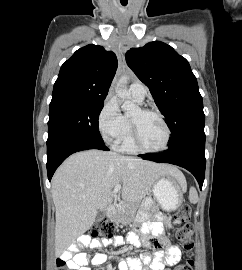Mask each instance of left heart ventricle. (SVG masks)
<instances>
[{"instance_id": "b2bd125f", "label": "left heart ventricle", "mask_w": 242, "mask_h": 270, "mask_svg": "<svg viewBox=\"0 0 242 270\" xmlns=\"http://www.w3.org/2000/svg\"><path fill=\"white\" fill-rule=\"evenodd\" d=\"M139 126L140 140L143 146L155 149L163 145L165 141V128L155 115H142L137 110L133 115Z\"/></svg>"}]
</instances>
